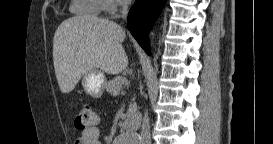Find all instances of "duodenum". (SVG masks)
<instances>
[{
  "label": "duodenum",
  "instance_id": "410a0bca",
  "mask_svg": "<svg viewBox=\"0 0 273 144\" xmlns=\"http://www.w3.org/2000/svg\"><path fill=\"white\" fill-rule=\"evenodd\" d=\"M138 123V116L134 115V116H129L126 118L125 122H124V127L126 130H133Z\"/></svg>",
  "mask_w": 273,
  "mask_h": 144
}]
</instances>
